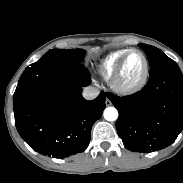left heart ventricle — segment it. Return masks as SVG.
<instances>
[{
	"label": "left heart ventricle",
	"mask_w": 183,
	"mask_h": 183,
	"mask_svg": "<svg viewBox=\"0 0 183 183\" xmlns=\"http://www.w3.org/2000/svg\"><path fill=\"white\" fill-rule=\"evenodd\" d=\"M142 69H143V60L141 56L137 53L131 54L126 60L122 72V80L125 83L135 82L141 75Z\"/></svg>",
	"instance_id": "left-heart-ventricle-1"
}]
</instances>
